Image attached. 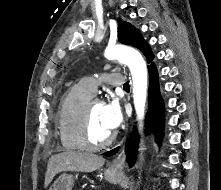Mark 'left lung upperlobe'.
<instances>
[{
    "mask_svg": "<svg viewBox=\"0 0 221 190\" xmlns=\"http://www.w3.org/2000/svg\"><path fill=\"white\" fill-rule=\"evenodd\" d=\"M118 40L126 45H132L143 52L147 62L151 63L154 58L149 45L144 41L139 31L127 22H122L118 26Z\"/></svg>",
    "mask_w": 221,
    "mask_h": 190,
    "instance_id": "obj_1",
    "label": "left lung upper lobe"
}]
</instances>
